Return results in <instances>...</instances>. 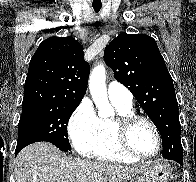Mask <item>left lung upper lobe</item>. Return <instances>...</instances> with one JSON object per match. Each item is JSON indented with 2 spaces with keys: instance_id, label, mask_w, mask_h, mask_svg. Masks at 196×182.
Returning <instances> with one entry per match:
<instances>
[{
  "instance_id": "1",
  "label": "left lung upper lobe",
  "mask_w": 196,
  "mask_h": 182,
  "mask_svg": "<svg viewBox=\"0 0 196 182\" xmlns=\"http://www.w3.org/2000/svg\"><path fill=\"white\" fill-rule=\"evenodd\" d=\"M104 60L156 125L162 152L174 148L183 155L173 80L156 41L146 34L122 33L106 46Z\"/></svg>"
}]
</instances>
